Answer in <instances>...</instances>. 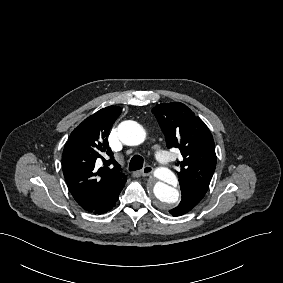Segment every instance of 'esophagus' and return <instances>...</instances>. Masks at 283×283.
Here are the masks:
<instances>
[{"instance_id": "obj_1", "label": "esophagus", "mask_w": 283, "mask_h": 283, "mask_svg": "<svg viewBox=\"0 0 283 283\" xmlns=\"http://www.w3.org/2000/svg\"><path fill=\"white\" fill-rule=\"evenodd\" d=\"M154 169L151 166H145L142 170L139 171L141 176H149L153 173Z\"/></svg>"}]
</instances>
